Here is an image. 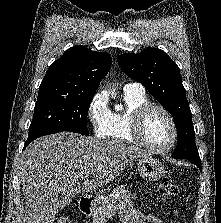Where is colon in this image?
Returning a JSON list of instances; mask_svg holds the SVG:
<instances>
[{
  "mask_svg": "<svg viewBox=\"0 0 221 223\" xmlns=\"http://www.w3.org/2000/svg\"><path fill=\"white\" fill-rule=\"evenodd\" d=\"M159 194L164 200L172 199L178 194V187L170 177H163L159 185ZM175 216V210H169L167 212L168 223H176ZM56 223H70V220L68 217L63 216Z\"/></svg>",
  "mask_w": 221,
  "mask_h": 223,
  "instance_id": "5ec220e1",
  "label": "colon"
}]
</instances>
